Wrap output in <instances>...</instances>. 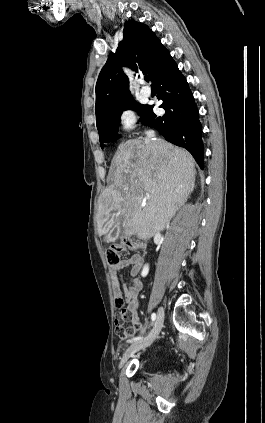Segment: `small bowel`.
<instances>
[{"label": "small bowel", "instance_id": "small-bowel-1", "mask_svg": "<svg viewBox=\"0 0 265 423\" xmlns=\"http://www.w3.org/2000/svg\"><path fill=\"white\" fill-rule=\"evenodd\" d=\"M142 264V257L138 254H133L120 261L117 265L111 266L109 270L112 279L113 291L116 297L121 296L127 303V311L131 314L132 329L126 334V336L121 337L122 339H126L129 336L134 335L141 329L138 310L139 293L142 289V282L137 278V274L140 272ZM128 267H130L131 280L128 283L123 284L124 294L122 295L118 282V274Z\"/></svg>", "mask_w": 265, "mask_h": 423}]
</instances>
